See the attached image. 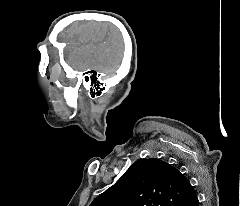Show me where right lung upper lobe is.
<instances>
[{"mask_svg": "<svg viewBox=\"0 0 240 206\" xmlns=\"http://www.w3.org/2000/svg\"><path fill=\"white\" fill-rule=\"evenodd\" d=\"M195 195L189 180L170 164L139 159L90 206H179Z\"/></svg>", "mask_w": 240, "mask_h": 206, "instance_id": "obj_1", "label": "right lung upper lobe"}]
</instances>
